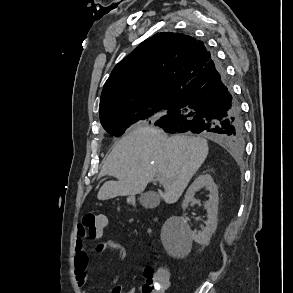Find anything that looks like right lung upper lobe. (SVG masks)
Masks as SVG:
<instances>
[{"label":"right lung upper lobe","instance_id":"obj_1","mask_svg":"<svg viewBox=\"0 0 293 293\" xmlns=\"http://www.w3.org/2000/svg\"><path fill=\"white\" fill-rule=\"evenodd\" d=\"M213 57L193 37L170 32L155 34L113 69L101 94L100 119L176 99Z\"/></svg>","mask_w":293,"mask_h":293}]
</instances>
